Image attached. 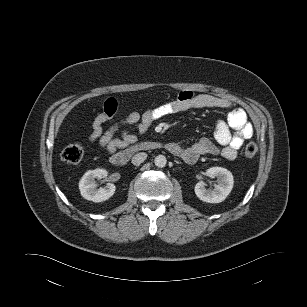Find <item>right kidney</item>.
Masks as SVG:
<instances>
[{"label":"right kidney","instance_id":"ca27d5eb","mask_svg":"<svg viewBox=\"0 0 307 307\" xmlns=\"http://www.w3.org/2000/svg\"><path fill=\"white\" fill-rule=\"evenodd\" d=\"M107 171L104 169H95L87 171L79 182L81 195L93 202H103L113 196L115 185L108 183L105 187L96 188L95 178L107 177Z\"/></svg>","mask_w":307,"mask_h":307}]
</instances>
